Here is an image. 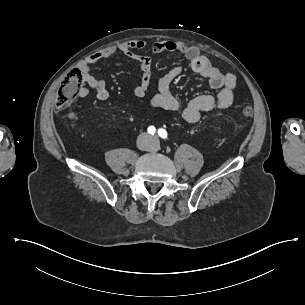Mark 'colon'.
I'll use <instances>...</instances> for the list:
<instances>
[{"instance_id":"colon-1","label":"colon","mask_w":305,"mask_h":305,"mask_svg":"<svg viewBox=\"0 0 305 305\" xmlns=\"http://www.w3.org/2000/svg\"><path fill=\"white\" fill-rule=\"evenodd\" d=\"M80 83L81 75L77 70L70 69L65 73L64 83L55 101L57 108H71L76 104ZM241 113L244 117H251L253 115V109L251 107H245Z\"/></svg>"}]
</instances>
